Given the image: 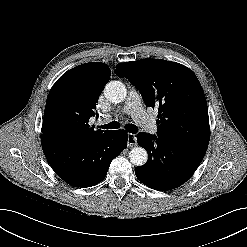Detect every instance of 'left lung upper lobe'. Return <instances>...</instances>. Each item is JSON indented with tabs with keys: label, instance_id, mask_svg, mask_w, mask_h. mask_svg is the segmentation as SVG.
<instances>
[{
	"label": "left lung upper lobe",
	"instance_id": "obj_1",
	"mask_svg": "<svg viewBox=\"0 0 247 247\" xmlns=\"http://www.w3.org/2000/svg\"><path fill=\"white\" fill-rule=\"evenodd\" d=\"M149 107L158 109V137L207 149L210 139L208 108L199 80L176 62L142 59L116 65Z\"/></svg>",
	"mask_w": 247,
	"mask_h": 247
}]
</instances>
